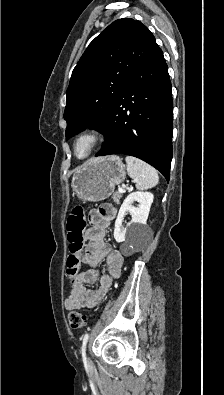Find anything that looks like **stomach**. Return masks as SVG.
Masks as SVG:
<instances>
[{"instance_id": "1", "label": "stomach", "mask_w": 224, "mask_h": 395, "mask_svg": "<svg viewBox=\"0 0 224 395\" xmlns=\"http://www.w3.org/2000/svg\"><path fill=\"white\" fill-rule=\"evenodd\" d=\"M126 177L125 165L118 156L87 161L72 177V189L80 200L102 201L108 198Z\"/></svg>"}]
</instances>
